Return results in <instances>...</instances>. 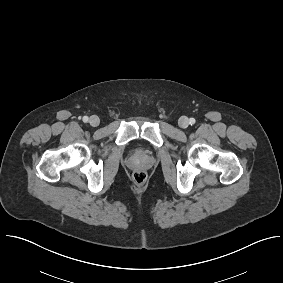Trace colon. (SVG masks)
<instances>
[{
  "mask_svg": "<svg viewBox=\"0 0 283 283\" xmlns=\"http://www.w3.org/2000/svg\"><path fill=\"white\" fill-rule=\"evenodd\" d=\"M147 179V175L145 172L143 171H136L134 174H133V181L135 184L137 185H142L145 183Z\"/></svg>",
  "mask_w": 283,
  "mask_h": 283,
  "instance_id": "obj_1",
  "label": "colon"
}]
</instances>
